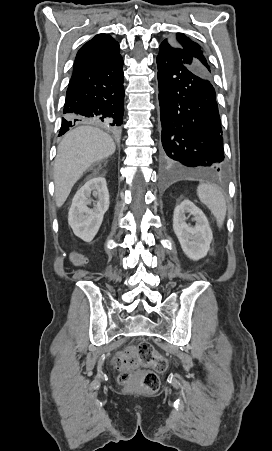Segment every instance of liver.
Here are the masks:
<instances>
[{"instance_id":"obj_1","label":"liver","mask_w":272,"mask_h":451,"mask_svg":"<svg viewBox=\"0 0 272 451\" xmlns=\"http://www.w3.org/2000/svg\"><path fill=\"white\" fill-rule=\"evenodd\" d=\"M115 150L114 140L100 128L78 126L67 132L57 148L54 164L57 208H61L66 202L74 184L83 176V172L93 162L112 156Z\"/></svg>"}]
</instances>
